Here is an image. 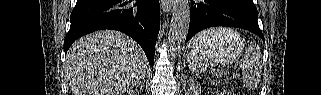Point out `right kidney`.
Wrapping results in <instances>:
<instances>
[{"instance_id": "right-kidney-1", "label": "right kidney", "mask_w": 321, "mask_h": 95, "mask_svg": "<svg viewBox=\"0 0 321 95\" xmlns=\"http://www.w3.org/2000/svg\"><path fill=\"white\" fill-rule=\"evenodd\" d=\"M128 95H134V93H133V92H131V91H129V92H128Z\"/></svg>"}]
</instances>
